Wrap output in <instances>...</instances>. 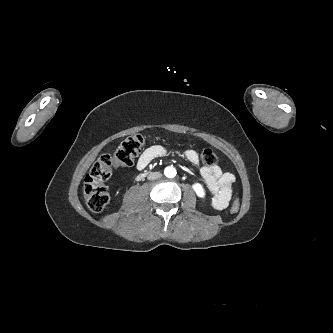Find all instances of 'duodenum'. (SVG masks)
<instances>
[{
  "label": "duodenum",
  "instance_id": "1",
  "mask_svg": "<svg viewBox=\"0 0 333 333\" xmlns=\"http://www.w3.org/2000/svg\"><path fill=\"white\" fill-rule=\"evenodd\" d=\"M144 176L143 175H141V176H139V179H141V178H143Z\"/></svg>",
  "mask_w": 333,
  "mask_h": 333
}]
</instances>
